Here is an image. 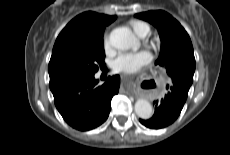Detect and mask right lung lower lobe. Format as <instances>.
<instances>
[{"mask_svg": "<svg viewBox=\"0 0 230 155\" xmlns=\"http://www.w3.org/2000/svg\"><path fill=\"white\" fill-rule=\"evenodd\" d=\"M95 73L50 77L55 106L73 128L87 131L101 125L111 109V99L118 93L120 77H108L97 85Z\"/></svg>", "mask_w": 230, "mask_h": 155, "instance_id": "right-lung-lower-lobe-1", "label": "right lung lower lobe"}]
</instances>
